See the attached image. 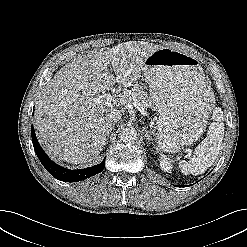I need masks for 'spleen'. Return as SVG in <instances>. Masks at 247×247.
Masks as SVG:
<instances>
[{
    "instance_id": "spleen-1",
    "label": "spleen",
    "mask_w": 247,
    "mask_h": 247,
    "mask_svg": "<svg viewBox=\"0 0 247 247\" xmlns=\"http://www.w3.org/2000/svg\"><path fill=\"white\" fill-rule=\"evenodd\" d=\"M215 120L209 126L207 137L196 147L194 156L188 161H180L179 168L185 175H200L215 162L224 137L223 112L221 108L213 111Z\"/></svg>"
}]
</instances>
